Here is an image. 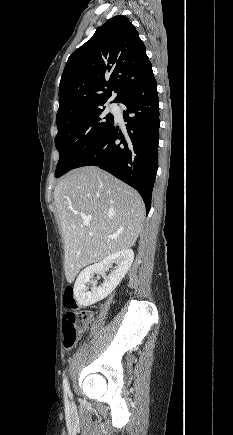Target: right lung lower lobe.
<instances>
[{
  "mask_svg": "<svg viewBox=\"0 0 233 435\" xmlns=\"http://www.w3.org/2000/svg\"><path fill=\"white\" fill-rule=\"evenodd\" d=\"M120 102L125 105V128L113 122L105 136L75 168L98 166L132 186L143 198L148 214L158 168L160 123L153 73L129 89Z\"/></svg>",
  "mask_w": 233,
  "mask_h": 435,
  "instance_id": "right-lung-lower-lobe-1",
  "label": "right lung lower lobe"
}]
</instances>
